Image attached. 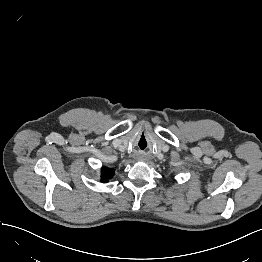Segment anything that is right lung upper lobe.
Listing matches in <instances>:
<instances>
[{
  "mask_svg": "<svg viewBox=\"0 0 262 262\" xmlns=\"http://www.w3.org/2000/svg\"><path fill=\"white\" fill-rule=\"evenodd\" d=\"M114 175V171L107 168V167H103L102 168V182H107V179L111 178Z\"/></svg>",
  "mask_w": 262,
  "mask_h": 262,
  "instance_id": "1",
  "label": "right lung upper lobe"
}]
</instances>
